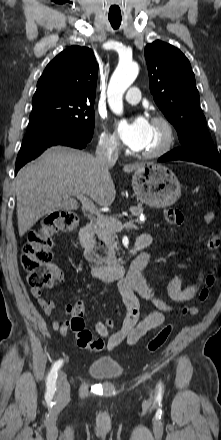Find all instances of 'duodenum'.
<instances>
[{"label":"duodenum","instance_id":"410a0bca","mask_svg":"<svg viewBox=\"0 0 221 440\" xmlns=\"http://www.w3.org/2000/svg\"><path fill=\"white\" fill-rule=\"evenodd\" d=\"M92 229H93V225L91 223H87L80 229L79 238L82 242L88 241V239L92 234ZM144 246L145 243L136 242L131 252L136 253L141 249H143ZM95 261H99V258L95 257ZM148 262H149L148 258H143L140 261L136 262L134 264L136 271L142 272V270H144L147 267ZM124 271L125 268L122 262H112L108 264H102L92 269V273L94 277L105 281H113L119 279L123 275Z\"/></svg>","mask_w":221,"mask_h":440}]
</instances>
